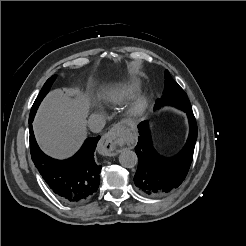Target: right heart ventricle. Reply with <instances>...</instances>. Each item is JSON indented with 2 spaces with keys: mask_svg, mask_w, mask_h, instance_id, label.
Here are the masks:
<instances>
[{
  "mask_svg": "<svg viewBox=\"0 0 246 246\" xmlns=\"http://www.w3.org/2000/svg\"><path fill=\"white\" fill-rule=\"evenodd\" d=\"M140 87L141 84L139 81L132 80L124 84L113 85L103 89L99 97L107 104L120 105L137 93Z\"/></svg>",
  "mask_w": 246,
  "mask_h": 246,
  "instance_id": "obj_1",
  "label": "right heart ventricle"
}]
</instances>
